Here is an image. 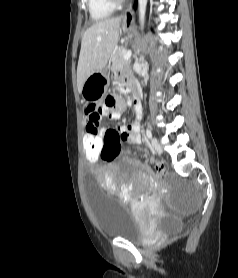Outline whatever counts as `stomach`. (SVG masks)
Here are the masks:
<instances>
[{
    "instance_id": "1",
    "label": "stomach",
    "mask_w": 238,
    "mask_h": 278,
    "mask_svg": "<svg viewBox=\"0 0 238 278\" xmlns=\"http://www.w3.org/2000/svg\"><path fill=\"white\" fill-rule=\"evenodd\" d=\"M124 32L131 31V27L126 24L122 25ZM110 69H101L100 72H95L90 75L84 82L81 90V95L86 101H96L102 96L106 89H109V79H112Z\"/></svg>"
}]
</instances>
